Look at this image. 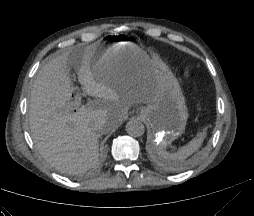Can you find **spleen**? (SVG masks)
<instances>
[{"label":"spleen","mask_w":254,"mask_h":216,"mask_svg":"<svg viewBox=\"0 0 254 216\" xmlns=\"http://www.w3.org/2000/svg\"><path fill=\"white\" fill-rule=\"evenodd\" d=\"M205 136V132L199 133L188 144L181 147L177 152L174 153H169L161 148H154V152L161 164L168 169H175L180 162H183L187 157L199 149Z\"/></svg>","instance_id":"spleen-1"}]
</instances>
